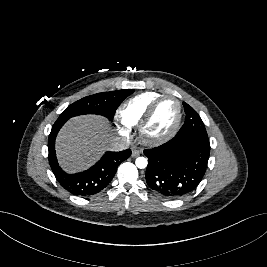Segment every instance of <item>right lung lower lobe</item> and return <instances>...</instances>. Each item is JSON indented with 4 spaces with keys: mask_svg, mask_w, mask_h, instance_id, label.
I'll return each instance as SVG.
<instances>
[{
    "mask_svg": "<svg viewBox=\"0 0 267 267\" xmlns=\"http://www.w3.org/2000/svg\"><path fill=\"white\" fill-rule=\"evenodd\" d=\"M64 123H55L48 138L49 163L60 185L76 196L94 195L104 189L114 177L118 165L129 158L131 150L120 152H107L88 170L77 173H65L56 159L55 139L59 129Z\"/></svg>",
    "mask_w": 267,
    "mask_h": 267,
    "instance_id": "right-lung-lower-lobe-1",
    "label": "right lung lower lobe"
}]
</instances>
